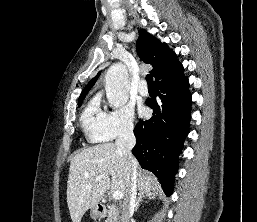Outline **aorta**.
I'll return each mask as SVG.
<instances>
[{
	"mask_svg": "<svg viewBox=\"0 0 257 222\" xmlns=\"http://www.w3.org/2000/svg\"><path fill=\"white\" fill-rule=\"evenodd\" d=\"M105 90L110 106H124L129 98L128 71L125 65H112L105 75Z\"/></svg>",
	"mask_w": 257,
	"mask_h": 222,
	"instance_id": "762f6f07",
	"label": "aorta"
}]
</instances>
